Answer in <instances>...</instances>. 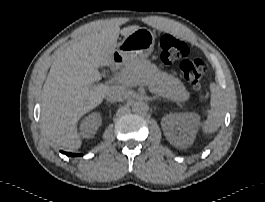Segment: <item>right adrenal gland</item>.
<instances>
[{"label": "right adrenal gland", "mask_w": 265, "mask_h": 202, "mask_svg": "<svg viewBox=\"0 0 265 202\" xmlns=\"http://www.w3.org/2000/svg\"><path fill=\"white\" fill-rule=\"evenodd\" d=\"M107 103H108L109 105L113 104L112 102L109 103L108 101H107Z\"/></svg>", "instance_id": "obj_1"}]
</instances>
